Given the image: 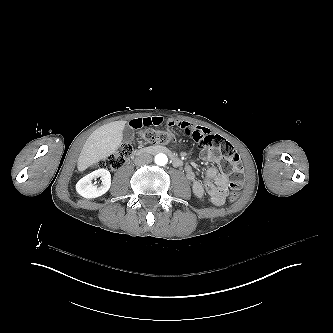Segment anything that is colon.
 <instances>
[{
	"label": "colon",
	"instance_id": "1",
	"mask_svg": "<svg viewBox=\"0 0 333 333\" xmlns=\"http://www.w3.org/2000/svg\"><path fill=\"white\" fill-rule=\"evenodd\" d=\"M182 125V129L185 135L192 137V139L196 141L197 145H199L201 150H203L204 147L209 146L213 151L220 152L223 155L225 158V160L221 163L223 171L232 175L231 181L229 183V188L231 191L229 198L230 200H236L239 196V190L241 188L243 178V166L236 149L226 139L219 135L211 133L205 134L204 130L201 128L195 130V128L189 122L183 123ZM138 133L145 144L149 146H162L175 141V136L170 129L166 131H154L146 129ZM132 153V145L123 144L116 150L115 153L102 159L99 167L108 170L117 169L121 165L120 158L122 157L129 159ZM212 157H214V155Z\"/></svg>",
	"mask_w": 333,
	"mask_h": 333
}]
</instances>
